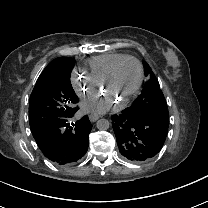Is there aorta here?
I'll list each match as a JSON object with an SVG mask.
<instances>
[{
  "label": "aorta",
  "instance_id": "1",
  "mask_svg": "<svg viewBox=\"0 0 208 208\" xmlns=\"http://www.w3.org/2000/svg\"><path fill=\"white\" fill-rule=\"evenodd\" d=\"M96 126L99 130H107L110 126V123L107 119H99L96 123Z\"/></svg>",
  "mask_w": 208,
  "mask_h": 208
}]
</instances>
